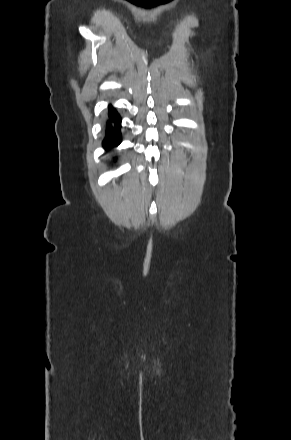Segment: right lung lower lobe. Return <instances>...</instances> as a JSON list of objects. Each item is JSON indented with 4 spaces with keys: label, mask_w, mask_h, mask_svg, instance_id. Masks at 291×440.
I'll return each instance as SVG.
<instances>
[{
    "label": "right lung lower lobe",
    "mask_w": 291,
    "mask_h": 440,
    "mask_svg": "<svg viewBox=\"0 0 291 440\" xmlns=\"http://www.w3.org/2000/svg\"><path fill=\"white\" fill-rule=\"evenodd\" d=\"M109 120L114 122V128L107 130V138L103 141V147L108 149L110 146H117L121 142L120 123L121 119L115 109L109 106Z\"/></svg>",
    "instance_id": "obj_1"
}]
</instances>
